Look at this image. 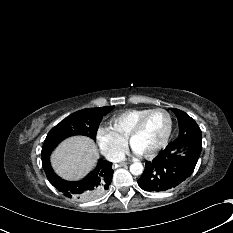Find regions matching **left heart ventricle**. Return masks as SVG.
Wrapping results in <instances>:
<instances>
[{
    "label": "left heart ventricle",
    "instance_id": "left-heart-ventricle-1",
    "mask_svg": "<svg viewBox=\"0 0 233 233\" xmlns=\"http://www.w3.org/2000/svg\"><path fill=\"white\" fill-rule=\"evenodd\" d=\"M169 125L164 112H156L145 121L141 132L133 139L132 146L140 154L154 149L163 140Z\"/></svg>",
    "mask_w": 233,
    "mask_h": 233
}]
</instances>
